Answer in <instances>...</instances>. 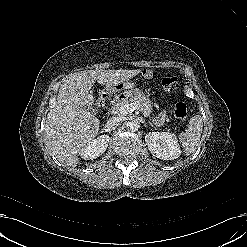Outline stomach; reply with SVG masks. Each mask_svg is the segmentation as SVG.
<instances>
[{"label":"stomach","instance_id":"obj_1","mask_svg":"<svg viewBox=\"0 0 247 247\" xmlns=\"http://www.w3.org/2000/svg\"><path fill=\"white\" fill-rule=\"evenodd\" d=\"M133 86H134L133 83L125 81L123 83L116 85V87H114L113 90H116V91L125 90L123 93V96L127 98L134 94L135 90H132Z\"/></svg>","mask_w":247,"mask_h":247}]
</instances>
